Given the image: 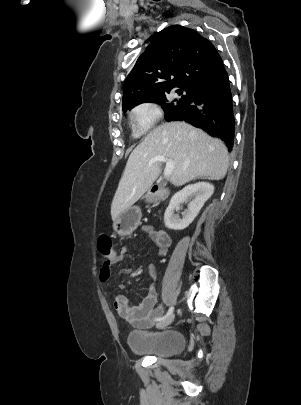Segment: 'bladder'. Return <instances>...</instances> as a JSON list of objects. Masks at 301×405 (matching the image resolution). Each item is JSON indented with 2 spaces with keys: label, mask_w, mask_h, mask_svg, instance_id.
<instances>
[{
  "label": "bladder",
  "mask_w": 301,
  "mask_h": 405,
  "mask_svg": "<svg viewBox=\"0 0 301 405\" xmlns=\"http://www.w3.org/2000/svg\"><path fill=\"white\" fill-rule=\"evenodd\" d=\"M127 343L134 354L156 358L176 356L185 346L182 334L173 329L161 331L134 330L129 333Z\"/></svg>",
  "instance_id": "bladder-1"
}]
</instances>
